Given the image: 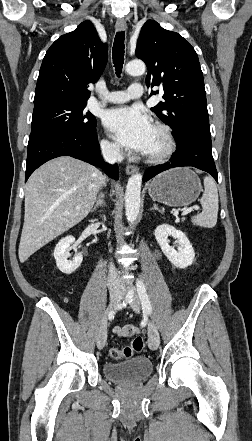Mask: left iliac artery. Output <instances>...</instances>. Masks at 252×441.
Segmentation results:
<instances>
[{
    "instance_id": "44dca946",
    "label": "left iliac artery",
    "mask_w": 252,
    "mask_h": 441,
    "mask_svg": "<svg viewBox=\"0 0 252 441\" xmlns=\"http://www.w3.org/2000/svg\"><path fill=\"white\" fill-rule=\"evenodd\" d=\"M137 291H138L139 298L141 300L143 312H145L147 314H151L152 306L149 301V297L146 292L145 285L143 284L142 281H139V280L137 281Z\"/></svg>"
}]
</instances>
